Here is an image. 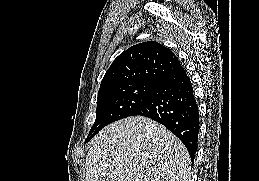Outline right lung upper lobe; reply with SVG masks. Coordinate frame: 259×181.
Returning <instances> with one entry per match:
<instances>
[{
	"mask_svg": "<svg viewBox=\"0 0 259 181\" xmlns=\"http://www.w3.org/2000/svg\"><path fill=\"white\" fill-rule=\"evenodd\" d=\"M175 54L155 41L134 45L121 53L105 73L99 92L135 83H155L180 68Z\"/></svg>",
	"mask_w": 259,
	"mask_h": 181,
	"instance_id": "cb5924a9",
	"label": "right lung upper lobe"
}]
</instances>
